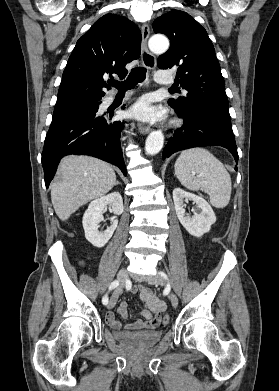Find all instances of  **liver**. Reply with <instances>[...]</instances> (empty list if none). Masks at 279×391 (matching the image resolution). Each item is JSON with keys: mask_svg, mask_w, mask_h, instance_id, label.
<instances>
[{"mask_svg": "<svg viewBox=\"0 0 279 391\" xmlns=\"http://www.w3.org/2000/svg\"><path fill=\"white\" fill-rule=\"evenodd\" d=\"M116 184V174L106 162L90 156H66L58 168V180L51 186V200L57 216L67 220L82 205L102 197Z\"/></svg>", "mask_w": 279, "mask_h": 391, "instance_id": "obj_1", "label": "liver"}]
</instances>
